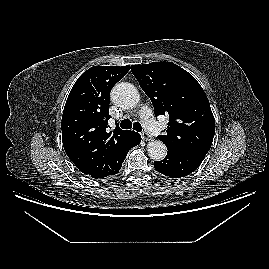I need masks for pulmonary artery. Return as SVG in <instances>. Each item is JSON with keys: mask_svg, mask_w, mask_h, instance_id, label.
<instances>
[{"mask_svg": "<svg viewBox=\"0 0 269 269\" xmlns=\"http://www.w3.org/2000/svg\"><path fill=\"white\" fill-rule=\"evenodd\" d=\"M144 129L152 136H158L162 133L163 127L152 116V111L149 107L143 106L139 111Z\"/></svg>", "mask_w": 269, "mask_h": 269, "instance_id": "pulmonary-artery-1", "label": "pulmonary artery"}]
</instances>
